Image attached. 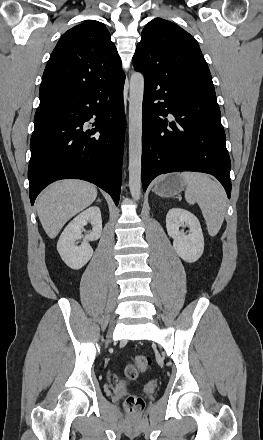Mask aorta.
Returning a JSON list of instances; mask_svg holds the SVG:
<instances>
[{
	"instance_id": "762f6f07",
	"label": "aorta",
	"mask_w": 263,
	"mask_h": 440,
	"mask_svg": "<svg viewBox=\"0 0 263 440\" xmlns=\"http://www.w3.org/2000/svg\"><path fill=\"white\" fill-rule=\"evenodd\" d=\"M144 76L134 72L129 91V189L134 200L141 196L142 103Z\"/></svg>"
}]
</instances>
